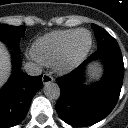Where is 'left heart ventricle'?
<instances>
[{
    "label": "left heart ventricle",
    "mask_w": 128,
    "mask_h": 128,
    "mask_svg": "<svg viewBox=\"0 0 128 128\" xmlns=\"http://www.w3.org/2000/svg\"><path fill=\"white\" fill-rule=\"evenodd\" d=\"M88 41H89L88 35L86 33H80L75 41L74 52L76 54L82 52L86 48Z\"/></svg>",
    "instance_id": "left-heart-ventricle-1"
}]
</instances>
